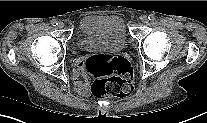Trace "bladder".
Wrapping results in <instances>:
<instances>
[{
    "mask_svg": "<svg viewBox=\"0 0 207 123\" xmlns=\"http://www.w3.org/2000/svg\"><path fill=\"white\" fill-rule=\"evenodd\" d=\"M77 47L84 52H117L126 47L124 21L116 15H89L78 24Z\"/></svg>",
    "mask_w": 207,
    "mask_h": 123,
    "instance_id": "1",
    "label": "bladder"
}]
</instances>
